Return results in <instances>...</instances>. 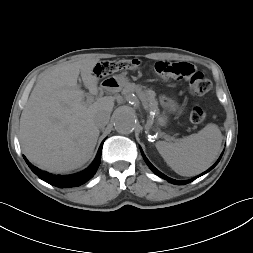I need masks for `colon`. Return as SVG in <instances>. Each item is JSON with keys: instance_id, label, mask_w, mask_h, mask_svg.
Returning <instances> with one entry per match:
<instances>
[{"instance_id": "1", "label": "colon", "mask_w": 253, "mask_h": 253, "mask_svg": "<svg viewBox=\"0 0 253 253\" xmlns=\"http://www.w3.org/2000/svg\"><path fill=\"white\" fill-rule=\"evenodd\" d=\"M143 63L138 59H117L103 61L96 65L94 73L98 77H105L123 70H138ZM154 71L164 79L184 80L188 83L189 90L194 95H203L211 88L210 80L193 65L187 62L159 61L154 65ZM206 118L203 107L195 105L190 112V120L194 124L202 123Z\"/></svg>"}]
</instances>
